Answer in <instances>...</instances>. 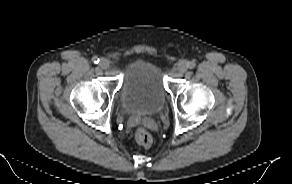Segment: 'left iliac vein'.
Returning <instances> with one entry per match:
<instances>
[{
    "label": "left iliac vein",
    "instance_id": "1",
    "mask_svg": "<svg viewBox=\"0 0 292 184\" xmlns=\"http://www.w3.org/2000/svg\"><path fill=\"white\" fill-rule=\"evenodd\" d=\"M176 69L181 74L185 73L188 69L187 62L185 60L179 61Z\"/></svg>",
    "mask_w": 292,
    "mask_h": 184
}]
</instances>
